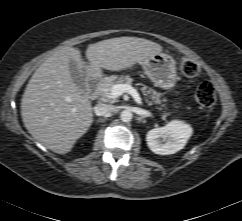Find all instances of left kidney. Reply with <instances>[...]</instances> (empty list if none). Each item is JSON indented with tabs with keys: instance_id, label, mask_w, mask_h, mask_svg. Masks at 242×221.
Instances as JSON below:
<instances>
[{
	"instance_id": "1",
	"label": "left kidney",
	"mask_w": 242,
	"mask_h": 221,
	"mask_svg": "<svg viewBox=\"0 0 242 221\" xmlns=\"http://www.w3.org/2000/svg\"><path fill=\"white\" fill-rule=\"evenodd\" d=\"M192 132V127L186 122L172 120L164 127L148 131L146 141L155 154L169 155L183 149Z\"/></svg>"
}]
</instances>
